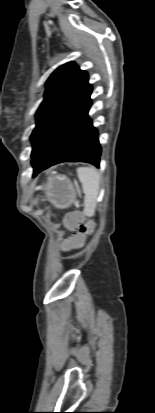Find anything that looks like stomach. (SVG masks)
Wrapping results in <instances>:
<instances>
[{"label": "stomach", "instance_id": "0dacf381", "mask_svg": "<svg viewBox=\"0 0 155 413\" xmlns=\"http://www.w3.org/2000/svg\"><path fill=\"white\" fill-rule=\"evenodd\" d=\"M44 190L46 197L58 208L69 207L76 195L73 184L63 175L48 178Z\"/></svg>", "mask_w": 155, "mask_h": 413}]
</instances>
